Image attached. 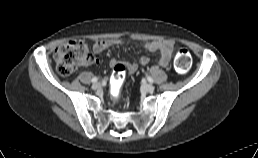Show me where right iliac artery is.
Wrapping results in <instances>:
<instances>
[{
	"label": "right iliac artery",
	"mask_w": 258,
	"mask_h": 158,
	"mask_svg": "<svg viewBox=\"0 0 258 158\" xmlns=\"http://www.w3.org/2000/svg\"><path fill=\"white\" fill-rule=\"evenodd\" d=\"M97 81H98L97 77H93L92 80H91L92 83H96Z\"/></svg>",
	"instance_id": "right-iliac-artery-1"
}]
</instances>
